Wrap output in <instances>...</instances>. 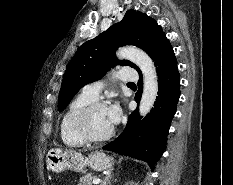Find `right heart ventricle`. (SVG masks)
Here are the masks:
<instances>
[{"label": "right heart ventricle", "mask_w": 233, "mask_h": 185, "mask_svg": "<svg viewBox=\"0 0 233 185\" xmlns=\"http://www.w3.org/2000/svg\"><path fill=\"white\" fill-rule=\"evenodd\" d=\"M92 101L81 94L74 98L65 110L60 123V136L66 146L80 147L85 144L76 131L75 120L78 113Z\"/></svg>", "instance_id": "obj_1"}]
</instances>
